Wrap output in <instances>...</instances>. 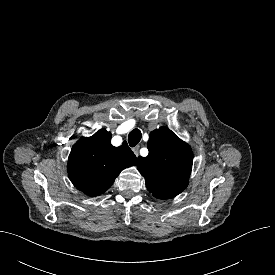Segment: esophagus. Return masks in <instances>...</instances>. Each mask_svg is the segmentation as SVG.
Returning <instances> with one entry per match:
<instances>
[{
    "instance_id": "34e87169",
    "label": "esophagus",
    "mask_w": 275,
    "mask_h": 275,
    "mask_svg": "<svg viewBox=\"0 0 275 275\" xmlns=\"http://www.w3.org/2000/svg\"><path fill=\"white\" fill-rule=\"evenodd\" d=\"M139 148H140V146L139 145H137V146H135L134 148H132V151L134 152V154L138 157V155H139Z\"/></svg>"
}]
</instances>
